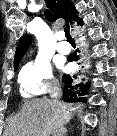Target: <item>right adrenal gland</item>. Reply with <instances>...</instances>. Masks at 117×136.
<instances>
[{
  "label": "right adrenal gland",
  "instance_id": "right-adrenal-gland-1",
  "mask_svg": "<svg viewBox=\"0 0 117 136\" xmlns=\"http://www.w3.org/2000/svg\"><path fill=\"white\" fill-rule=\"evenodd\" d=\"M65 133H66V129H61L60 131H58L56 136H63Z\"/></svg>",
  "mask_w": 117,
  "mask_h": 136
}]
</instances>
